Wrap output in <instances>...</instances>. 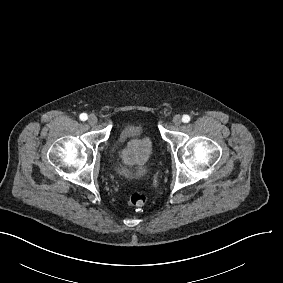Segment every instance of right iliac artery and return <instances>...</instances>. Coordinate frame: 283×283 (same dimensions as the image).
I'll return each instance as SVG.
<instances>
[{
  "label": "right iliac artery",
  "instance_id": "obj_1",
  "mask_svg": "<svg viewBox=\"0 0 283 283\" xmlns=\"http://www.w3.org/2000/svg\"><path fill=\"white\" fill-rule=\"evenodd\" d=\"M87 118H88V116H87L86 113H82V114L80 115V119H81L82 121L87 120Z\"/></svg>",
  "mask_w": 283,
  "mask_h": 283
}]
</instances>
